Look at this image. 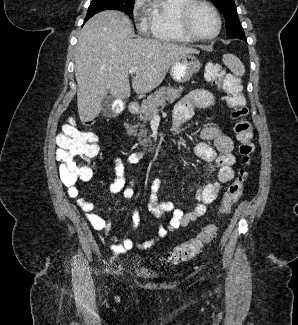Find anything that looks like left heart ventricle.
<instances>
[{
    "instance_id": "b2bd125f",
    "label": "left heart ventricle",
    "mask_w": 298,
    "mask_h": 325,
    "mask_svg": "<svg viewBox=\"0 0 298 325\" xmlns=\"http://www.w3.org/2000/svg\"><path fill=\"white\" fill-rule=\"evenodd\" d=\"M189 27L202 40L210 38L215 30L216 23L212 15L205 8L198 6L190 14Z\"/></svg>"
}]
</instances>
